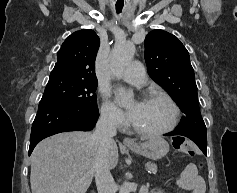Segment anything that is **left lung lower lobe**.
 I'll return each mask as SVG.
<instances>
[{
	"mask_svg": "<svg viewBox=\"0 0 237 193\" xmlns=\"http://www.w3.org/2000/svg\"><path fill=\"white\" fill-rule=\"evenodd\" d=\"M173 135H182V136H185V137L191 139L192 141H194L197 144V146L206 155V152H207V138H201V137L196 136V135H192V134H188V133H182V132H178L176 130L173 131V132L165 134V136H173Z\"/></svg>",
	"mask_w": 237,
	"mask_h": 193,
	"instance_id": "1",
	"label": "left lung lower lobe"
}]
</instances>
